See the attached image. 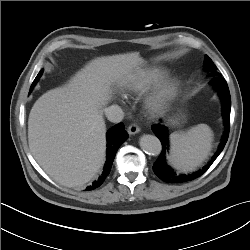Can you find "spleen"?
<instances>
[{
  "label": "spleen",
  "instance_id": "3e777b00",
  "mask_svg": "<svg viewBox=\"0 0 250 250\" xmlns=\"http://www.w3.org/2000/svg\"><path fill=\"white\" fill-rule=\"evenodd\" d=\"M213 132L206 124H198L187 132L170 135V164L181 172H189L200 166L210 154Z\"/></svg>",
  "mask_w": 250,
  "mask_h": 250
}]
</instances>
